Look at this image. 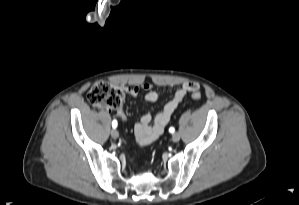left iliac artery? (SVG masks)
Returning <instances> with one entry per match:
<instances>
[{"label": "left iliac artery", "instance_id": "44dca946", "mask_svg": "<svg viewBox=\"0 0 299 205\" xmlns=\"http://www.w3.org/2000/svg\"><path fill=\"white\" fill-rule=\"evenodd\" d=\"M175 131V129L173 127L169 128V132L173 133Z\"/></svg>", "mask_w": 299, "mask_h": 205}]
</instances>
